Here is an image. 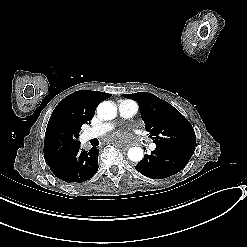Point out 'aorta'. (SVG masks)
Segmentation results:
<instances>
[{"instance_id":"obj_1","label":"aorta","mask_w":247,"mask_h":247,"mask_svg":"<svg viewBox=\"0 0 247 247\" xmlns=\"http://www.w3.org/2000/svg\"><path fill=\"white\" fill-rule=\"evenodd\" d=\"M98 116L104 120H111L116 117L117 107L110 101H103L97 107ZM131 161L139 162L143 159V150L141 147H131L127 152Z\"/></svg>"}]
</instances>
